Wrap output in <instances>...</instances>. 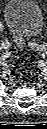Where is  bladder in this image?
<instances>
[{
	"label": "bladder",
	"mask_w": 47,
	"mask_h": 129,
	"mask_svg": "<svg viewBox=\"0 0 47 129\" xmlns=\"http://www.w3.org/2000/svg\"><path fill=\"white\" fill-rule=\"evenodd\" d=\"M4 21L22 42L38 36L44 26L42 10L35 0H9L4 8Z\"/></svg>",
	"instance_id": "obj_1"
}]
</instances>
